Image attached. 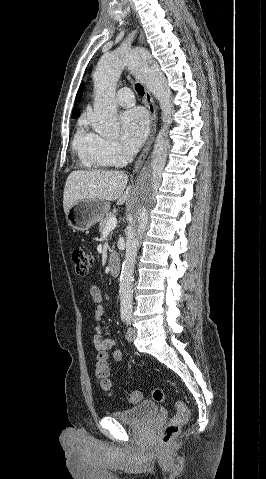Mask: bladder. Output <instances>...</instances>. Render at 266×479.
Returning <instances> with one entry per match:
<instances>
[{
  "instance_id": "1",
  "label": "bladder",
  "mask_w": 266,
  "mask_h": 479,
  "mask_svg": "<svg viewBox=\"0 0 266 479\" xmlns=\"http://www.w3.org/2000/svg\"><path fill=\"white\" fill-rule=\"evenodd\" d=\"M159 407L153 401H143L131 408L115 411L111 416L126 424H143L158 414Z\"/></svg>"
}]
</instances>
